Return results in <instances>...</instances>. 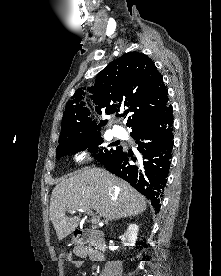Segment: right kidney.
Returning <instances> with one entry per match:
<instances>
[{"label":"right kidney","mask_w":221,"mask_h":276,"mask_svg":"<svg viewBox=\"0 0 221 276\" xmlns=\"http://www.w3.org/2000/svg\"><path fill=\"white\" fill-rule=\"evenodd\" d=\"M139 227L136 224H130L126 233L123 235V239L126 241V246H134L137 240Z\"/></svg>","instance_id":"1"}]
</instances>
